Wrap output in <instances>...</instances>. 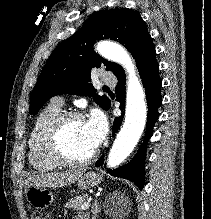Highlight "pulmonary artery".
<instances>
[{"label": "pulmonary artery", "instance_id": "1", "mask_svg": "<svg viewBox=\"0 0 211 219\" xmlns=\"http://www.w3.org/2000/svg\"><path fill=\"white\" fill-rule=\"evenodd\" d=\"M102 82L104 84L112 85V84H115L116 79H115V77H113L111 75L104 74L102 77ZM53 102L62 105L64 103V99L62 97H57V98L53 99Z\"/></svg>", "mask_w": 211, "mask_h": 219}]
</instances>
